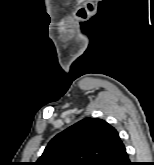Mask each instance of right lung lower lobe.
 I'll use <instances>...</instances> for the list:
<instances>
[{"label":"right lung lower lobe","instance_id":"obj_1","mask_svg":"<svg viewBox=\"0 0 154 165\" xmlns=\"http://www.w3.org/2000/svg\"><path fill=\"white\" fill-rule=\"evenodd\" d=\"M116 149V153L107 163V165H132L126 153L125 146L121 141L117 144Z\"/></svg>","mask_w":154,"mask_h":165}]
</instances>
